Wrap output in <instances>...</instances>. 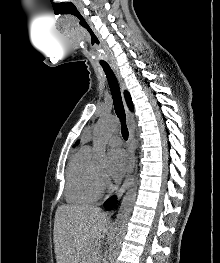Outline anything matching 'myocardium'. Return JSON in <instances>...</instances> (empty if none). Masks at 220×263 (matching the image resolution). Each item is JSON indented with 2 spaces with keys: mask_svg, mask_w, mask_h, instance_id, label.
<instances>
[{
  "mask_svg": "<svg viewBox=\"0 0 220 263\" xmlns=\"http://www.w3.org/2000/svg\"><path fill=\"white\" fill-rule=\"evenodd\" d=\"M95 180H96V185L100 191L103 187V175L95 171Z\"/></svg>",
  "mask_w": 220,
  "mask_h": 263,
  "instance_id": "f54148a6",
  "label": "myocardium"
}]
</instances>
